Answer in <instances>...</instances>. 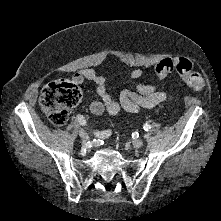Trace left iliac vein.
<instances>
[{"instance_id": "left-iliac-vein-1", "label": "left iliac vein", "mask_w": 221, "mask_h": 221, "mask_svg": "<svg viewBox=\"0 0 221 221\" xmlns=\"http://www.w3.org/2000/svg\"><path fill=\"white\" fill-rule=\"evenodd\" d=\"M132 145L134 148H140L143 145L142 139H134L132 140Z\"/></svg>"}]
</instances>
